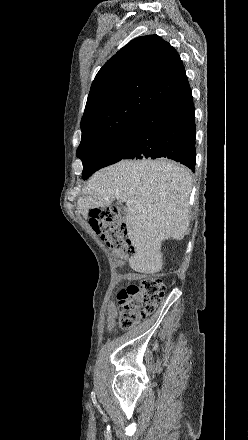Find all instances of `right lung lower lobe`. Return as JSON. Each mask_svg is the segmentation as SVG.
Segmentation results:
<instances>
[{
    "instance_id": "1",
    "label": "right lung lower lobe",
    "mask_w": 248,
    "mask_h": 440,
    "mask_svg": "<svg viewBox=\"0 0 248 440\" xmlns=\"http://www.w3.org/2000/svg\"><path fill=\"white\" fill-rule=\"evenodd\" d=\"M122 159L167 157L195 169V109L191 91L154 107L128 127Z\"/></svg>"
}]
</instances>
